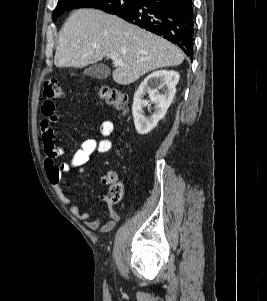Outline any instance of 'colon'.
Returning a JSON list of instances; mask_svg holds the SVG:
<instances>
[{"label":"colon","instance_id":"5ec220e1","mask_svg":"<svg viewBox=\"0 0 267 301\" xmlns=\"http://www.w3.org/2000/svg\"><path fill=\"white\" fill-rule=\"evenodd\" d=\"M43 95L45 99H54L62 97L63 92L57 81L48 79L44 82ZM97 95L107 103L114 105L122 113L127 111V97L119 90L103 86L97 90ZM122 196L123 186L120 182L114 180L111 183L110 198L113 202H119Z\"/></svg>","mask_w":267,"mask_h":301}]
</instances>
